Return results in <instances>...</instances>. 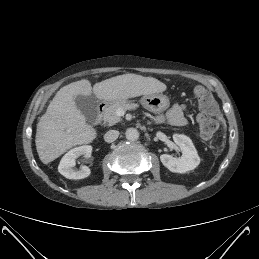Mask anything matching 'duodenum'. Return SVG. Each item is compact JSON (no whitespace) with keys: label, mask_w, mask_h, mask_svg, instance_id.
<instances>
[{"label":"duodenum","mask_w":259,"mask_h":259,"mask_svg":"<svg viewBox=\"0 0 259 259\" xmlns=\"http://www.w3.org/2000/svg\"><path fill=\"white\" fill-rule=\"evenodd\" d=\"M107 106H108L107 102H102V103L99 104L98 110H97V116H96V119H95L96 123H100V121L102 119L103 112L107 108Z\"/></svg>","instance_id":"obj_1"}]
</instances>
